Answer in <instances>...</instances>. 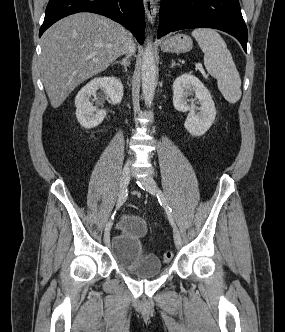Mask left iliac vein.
I'll use <instances>...</instances> for the list:
<instances>
[{
	"instance_id": "obj_1",
	"label": "left iliac vein",
	"mask_w": 285,
	"mask_h": 332,
	"mask_svg": "<svg viewBox=\"0 0 285 332\" xmlns=\"http://www.w3.org/2000/svg\"><path fill=\"white\" fill-rule=\"evenodd\" d=\"M137 180L146 189V191H148L151 195L157 194V184L152 177L146 176L143 178H139ZM173 237H174L175 245L178 248H180L182 246V238H181L179 231L176 228H174V230H173Z\"/></svg>"
}]
</instances>
